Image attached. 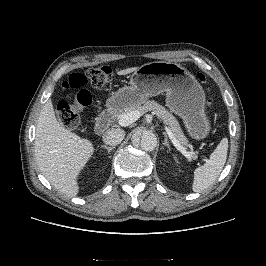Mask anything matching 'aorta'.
I'll use <instances>...</instances> for the list:
<instances>
[{
    "instance_id": "obj_1",
    "label": "aorta",
    "mask_w": 266,
    "mask_h": 266,
    "mask_svg": "<svg viewBox=\"0 0 266 266\" xmlns=\"http://www.w3.org/2000/svg\"><path fill=\"white\" fill-rule=\"evenodd\" d=\"M132 142L144 151H153L157 146V137L152 131L145 130L139 136H134Z\"/></svg>"
}]
</instances>
